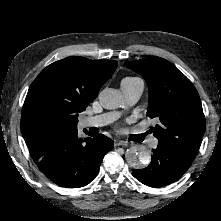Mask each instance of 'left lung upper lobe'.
<instances>
[{"label":"left lung upper lobe","instance_id":"5c2ea615","mask_svg":"<svg viewBox=\"0 0 221 221\" xmlns=\"http://www.w3.org/2000/svg\"><path fill=\"white\" fill-rule=\"evenodd\" d=\"M125 65L147 82V116L158 122L151 129L158 145L193 161L206 128L194 85L172 63L160 57L127 61Z\"/></svg>","mask_w":221,"mask_h":221}]
</instances>
